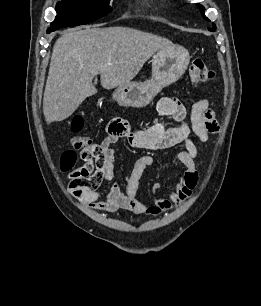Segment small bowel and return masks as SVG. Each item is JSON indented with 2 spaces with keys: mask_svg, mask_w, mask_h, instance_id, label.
Instances as JSON below:
<instances>
[{
  "mask_svg": "<svg viewBox=\"0 0 261 306\" xmlns=\"http://www.w3.org/2000/svg\"><path fill=\"white\" fill-rule=\"evenodd\" d=\"M157 110L161 115L177 121L178 125L167 127L164 122H157L147 128L132 129L127 121L115 119L108 125L107 135L100 144L105 152L104 164L96 167L91 159L84 158L81 153L85 164L77 170L82 172L94 187L83 190L80 198L90 208L101 213L124 210L135 215H156L182 206L191 196L198 182V148L191 136L194 135L200 142L205 143L211 134L218 132L214 112L205 98L193 103L187 112L179 99L163 97L157 104ZM122 138L135 149L160 150L177 144L183 145L184 149L177 152V159L186 170L168 198H157L152 206L145 205L137 198L140 179L145 170L154 163L150 155H144L136 161L131 173L125 177L124 190L118 182L108 184L114 178L115 150L112 146ZM159 187L158 184L154 186L156 190Z\"/></svg>",
  "mask_w": 261,
  "mask_h": 306,
  "instance_id": "c3829d8e",
  "label": "small bowel"
}]
</instances>
